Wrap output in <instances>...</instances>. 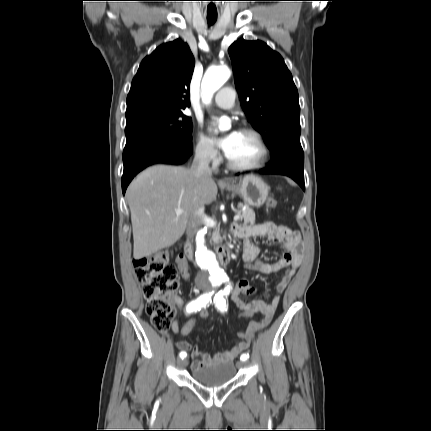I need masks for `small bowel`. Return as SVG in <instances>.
Returning <instances> with one entry per match:
<instances>
[{
    "label": "small bowel",
    "instance_id": "c3829d8e",
    "mask_svg": "<svg viewBox=\"0 0 431 431\" xmlns=\"http://www.w3.org/2000/svg\"><path fill=\"white\" fill-rule=\"evenodd\" d=\"M233 232L236 236L244 240L243 259L245 267L260 274L269 275L284 270L283 276L276 285L277 294L270 303L262 300H253L245 302L243 297H250L257 293V290L251 285L250 279L243 277L233 286L229 285V295L231 300L241 310H253L254 315L260 314L261 319L252 323L251 329L245 333L244 339H239L234 346L228 350L219 352L215 355L202 352L198 347L191 350V360L193 368L205 367L217 363L233 361L239 354L245 351L255 333L265 328L270 323L280 302V294L286 289L289 281L295 274L300 261V235L285 226L276 225L270 221H264L256 225H235ZM266 236L271 242L282 243L284 247L283 255L274 263H265L258 259L259 248L251 241V237ZM177 264L184 280H188L190 275L187 265L182 257L177 258ZM171 302L179 310L183 307L182 299L171 295ZM207 311V310H206ZM208 312V311H207ZM174 333H180L178 326V317L171 324ZM166 335V332L162 331ZM238 336V334H237ZM239 338V337H238ZM176 346L181 352H187L192 348L191 344L186 341H178ZM187 354V353H186Z\"/></svg>",
    "mask_w": 431,
    "mask_h": 431
}]
</instances>
